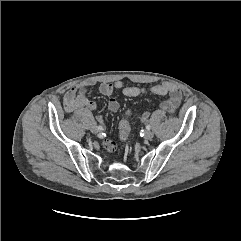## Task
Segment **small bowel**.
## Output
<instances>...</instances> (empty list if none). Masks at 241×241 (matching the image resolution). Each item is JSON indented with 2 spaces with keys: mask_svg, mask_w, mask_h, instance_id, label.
I'll list each match as a JSON object with an SVG mask.
<instances>
[{
  "mask_svg": "<svg viewBox=\"0 0 241 241\" xmlns=\"http://www.w3.org/2000/svg\"><path fill=\"white\" fill-rule=\"evenodd\" d=\"M94 83L83 82L78 85L70 87L63 96V104L66 112L72 113L80 109L94 110L97 103L87 98L86 93ZM98 91L109 98L108 110L110 112H117L120 104L119 101L113 96L115 91H120L124 96L137 97L146 93H153L156 95H168L169 98L161 104V108L168 113H175L179 107L182 99V93L172 83L164 82L151 87H138V86H125L120 80L111 83H101L98 85ZM148 118V113L142 115V120ZM104 147L112 152L116 149V143L112 140L105 139L103 141Z\"/></svg>",
  "mask_w": 241,
  "mask_h": 241,
  "instance_id": "obj_1",
  "label": "small bowel"
}]
</instances>
